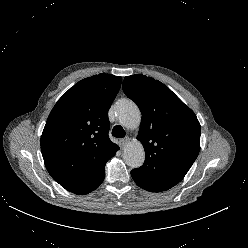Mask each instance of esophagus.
<instances>
[{"instance_id":"1","label":"esophagus","mask_w":248,"mask_h":248,"mask_svg":"<svg viewBox=\"0 0 248 248\" xmlns=\"http://www.w3.org/2000/svg\"><path fill=\"white\" fill-rule=\"evenodd\" d=\"M130 141V138L129 137H125V138H122L120 139V146L123 148L125 147V145Z\"/></svg>"}]
</instances>
